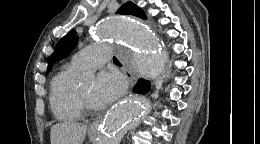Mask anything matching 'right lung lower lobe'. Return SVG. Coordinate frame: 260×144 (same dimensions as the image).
<instances>
[{
	"label": "right lung lower lobe",
	"mask_w": 260,
	"mask_h": 144,
	"mask_svg": "<svg viewBox=\"0 0 260 144\" xmlns=\"http://www.w3.org/2000/svg\"><path fill=\"white\" fill-rule=\"evenodd\" d=\"M151 84L149 81L144 79H139L134 91L136 93H145L150 90Z\"/></svg>",
	"instance_id": "obj_1"
}]
</instances>
